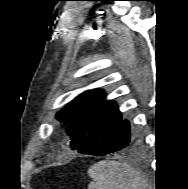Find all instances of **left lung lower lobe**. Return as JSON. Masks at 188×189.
Listing matches in <instances>:
<instances>
[{
  "mask_svg": "<svg viewBox=\"0 0 188 189\" xmlns=\"http://www.w3.org/2000/svg\"><path fill=\"white\" fill-rule=\"evenodd\" d=\"M137 139L131 137L130 124L128 120H122L96 147L89 153L90 155H106L131 148Z\"/></svg>",
  "mask_w": 188,
  "mask_h": 189,
  "instance_id": "obj_1",
  "label": "left lung lower lobe"
}]
</instances>
